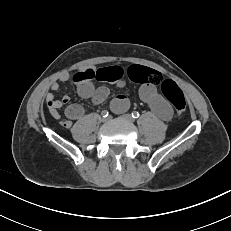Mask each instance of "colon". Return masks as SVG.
<instances>
[{"label":"colon","mask_w":231,"mask_h":231,"mask_svg":"<svg viewBox=\"0 0 231 231\" xmlns=\"http://www.w3.org/2000/svg\"><path fill=\"white\" fill-rule=\"evenodd\" d=\"M130 78L138 83H147L154 86L160 85L163 93L166 95L168 100L178 114H181L186 109V100L181 89L177 84L170 80H164L162 75L153 69H149L141 66H134L130 70ZM75 81L80 80V76H75Z\"/></svg>","instance_id":"colon-1"}]
</instances>
